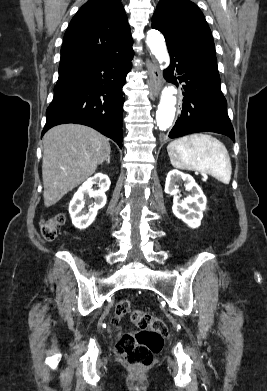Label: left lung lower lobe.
Returning <instances> with one entry per match:
<instances>
[{"label": "left lung lower lobe", "instance_id": "0a47b994", "mask_svg": "<svg viewBox=\"0 0 267 391\" xmlns=\"http://www.w3.org/2000/svg\"><path fill=\"white\" fill-rule=\"evenodd\" d=\"M171 63L164 71L168 82L183 83L181 115L169 133L170 138L196 132H216L235 141L227 114V102L221 92L217 61L167 44ZM177 72V75H174Z\"/></svg>", "mask_w": 267, "mask_h": 391}]
</instances>
